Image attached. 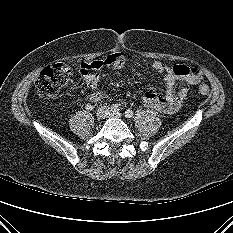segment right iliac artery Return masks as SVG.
Returning a JSON list of instances; mask_svg holds the SVG:
<instances>
[{
	"label": "right iliac artery",
	"instance_id": "82829eb1",
	"mask_svg": "<svg viewBox=\"0 0 233 233\" xmlns=\"http://www.w3.org/2000/svg\"><path fill=\"white\" fill-rule=\"evenodd\" d=\"M110 110L113 112V113H116L119 111V106L117 104H113L110 108Z\"/></svg>",
	"mask_w": 233,
	"mask_h": 233
}]
</instances>
